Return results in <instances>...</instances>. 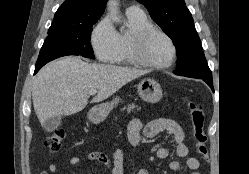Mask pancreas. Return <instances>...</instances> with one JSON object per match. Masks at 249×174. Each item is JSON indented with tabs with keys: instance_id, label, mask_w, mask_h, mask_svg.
<instances>
[{
	"instance_id": "obj_1",
	"label": "pancreas",
	"mask_w": 249,
	"mask_h": 174,
	"mask_svg": "<svg viewBox=\"0 0 249 174\" xmlns=\"http://www.w3.org/2000/svg\"><path fill=\"white\" fill-rule=\"evenodd\" d=\"M136 108V106H135V104L134 103H132V104H129L127 107H125L124 109H126L127 111H131V110H133V109H135Z\"/></svg>"
}]
</instances>
